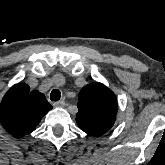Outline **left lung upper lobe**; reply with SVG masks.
<instances>
[{
	"label": "left lung upper lobe",
	"instance_id": "obj_1",
	"mask_svg": "<svg viewBox=\"0 0 165 165\" xmlns=\"http://www.w3.org/2000/svg\"><path fill=\"white\" fill-rule=\"evenodd\" d=\"M76 121L81 130L99 136L112 128L117 113V98L105 85L94 82L83 87L78 96Z\"/></svg>",
	"mask_w": 165,
	"mask_h": 165
}]
</instances>
